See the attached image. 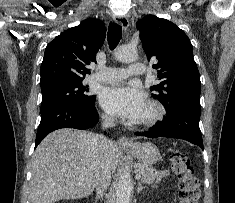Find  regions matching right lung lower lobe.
Here are the masks:
<instances>
[{
    "label": "right lung lower lobe",
    "mask_w": 235,
    "mask_h": 203,
    "mask_svg": "<svg viewBox=\"0 0 235 203\" xmlns=\"http://www.w3.org/2000/svg\"><path fill=\"white\" fill-rule=\"evenodd\" d=\"M95 98L84 104L61 102L41 110V122L37 130L35 147L56 129H88L97 124L99 116L95 108Z\"/></svg>",
    "instance_id": "right-lung-lower-lobe-1"
}]
</instances>
